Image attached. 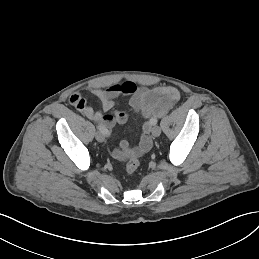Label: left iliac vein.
<instances>
[{
    "mask_svg": "<svg viewBox=\"0 0 259 259\" xmlns=\"http://www.w3.org/2000/svg\"><path fill=\"white\" fill-rule=\"evenodd\" d=\"M152 134H153V136H155V137L160 136V134H161V128H160L159 126H154L153 129H152Z\"/></svg>",
    "mask_w": 259,
    "mask_h": 259,
    "instance_id": "1",
    "label": "left iliac vein"
}]
</instances>
